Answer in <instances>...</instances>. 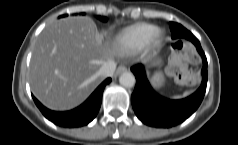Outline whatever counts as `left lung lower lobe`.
Masks as SVG:
<instances>
[{"label":"left lung lower lobe","instance_id":"obj_1","mask_svg":"<svg viewBox=\"0 0 238 145\" xmlns=\"http://www.w3.org/2000/svg\"><path fill=\"white\" fill-rule=\"evenodd\" d=\"M170 29L173 39L185 38L196 46L203 60V79L200 88L189 97L180 100H170L154 92L146 78L142 64L131 68L136 77V86L131 95L134 112L144 124L157 128H170L190 117L203 100L208 78L207 59L198 39L178 23L170 22Z\"/></svg>","mask_w":238,"mask_h":145}]
</instances>
